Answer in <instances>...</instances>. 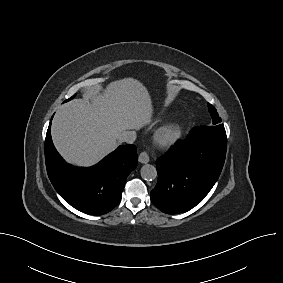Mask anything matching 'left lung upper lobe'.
<instances>
[{
    "label": "left lung upper lobe",
    "instance_id": "left-lung-upper-lobe-1",
    "mask_svg": "<svg viewBox=\"0 0 283 283\" xmlns=\"http://www.w3.org/2000/svg\"><path fill=\"white\" fill-rule=\"evenodd\" d=\"M207 104H208L209 112L211 113V117H212V125L208 127L216 129L220 132H225L224 125L221 124V118L219 117L216 108L210 103Z\"/></svg>",
    "mask_w": 283,
    "mask_h": 283
}]
</instances>
